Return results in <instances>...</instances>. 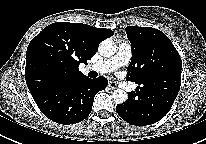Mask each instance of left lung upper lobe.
<instances>
[{
    "instance_id": "obj_1",
    "label": "left lung upper lobe",
    "mask_w": 206,
    "mask_h": 144,
    "mask_svg": "<svg viewBox=\"0 0 206 144\" xmlns=\"http://www.w3.org/2000/svg\"><path fill=\"white\" fill-rule=\"evenodd\" d=\"M132 59L127 80L147 90L166 87L180 89L182 62L170 39L152 27H126Z\"/></svg>"
}]
</instances>
